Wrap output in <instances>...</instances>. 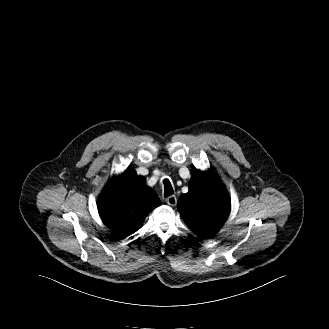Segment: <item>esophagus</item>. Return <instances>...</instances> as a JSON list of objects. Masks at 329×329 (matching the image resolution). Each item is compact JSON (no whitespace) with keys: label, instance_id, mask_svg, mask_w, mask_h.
<instances>
[{"label":"esophagus","instance_id":"obj_1","mask_svg":"<svg viewBox=\"0 0 329 329\" xmlns=\"http://www.w3.org/2000/svg\"><path fill=\"white\" fill-rule=\"evenodd\" d=\"M166 202L170 206H175L177 204V198L175 195H171L166 198Z\"/></svg>","mask_w":329,"mask_h":329}]
</instances>
